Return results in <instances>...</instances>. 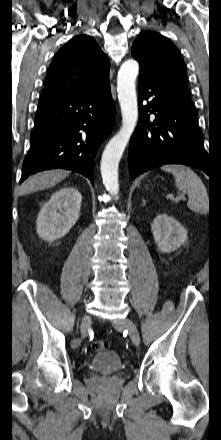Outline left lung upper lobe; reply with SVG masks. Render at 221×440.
Wrapping results in <instances>:
<instances>
[{"label":"left lung upper lobe","instance_id":"obj_1","mask_svg":"<svg viewBox=\"0 0 221 440\" xmlns=\"http://www.w3.org/2000/svg\"><path fill=\"white\" fill-rule=\"evenodd\" d=\"M131 52L140 64V75L190 99L183 59L169 39L159 33L145 31L136 38Z\"/></svg>","mask_w":221,"mask_h":440}]
</instances>
